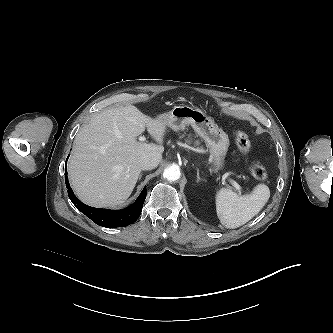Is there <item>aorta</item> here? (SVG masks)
I'll list each match as a JSON object with an SVG mask.
<instances>
[{"label": "aorta", "mask_w": 333, "mask_h": 333, "mask_svg": "<svg viewBox=\"0 0 333 333\" xmlns=\"http://www.w3.org/2000/svg\"><path fill=\"white\" fill-rule=\"evenodd\" d=\"M180 176V168L177 165L169 166L163 172V177L168 181H176Z\"/></svg>", "instance_id": "aorta-1"}]
</instances>
